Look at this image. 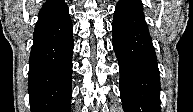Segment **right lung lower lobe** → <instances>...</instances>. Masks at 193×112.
<instances>
[{"label":"right lung lower lobe","instance_id":"98d812e1","mask_svg":"<svg viewBox=\"0 0 193 112\" xmlns=\"http://www.w3.org/2000/svg\"><path fill=\"white\" fill-rule=\"evenodd\" d=\"M29 58L31 112H70L73 26L63 0H47L38 14Z\"/></svg>","mask_w":193,"mask_h":112}]
</instances>
